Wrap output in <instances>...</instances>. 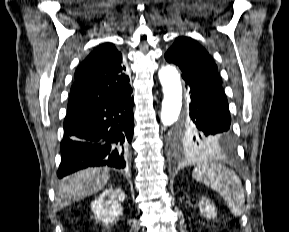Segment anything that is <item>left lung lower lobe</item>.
<instances>
[{
    "label": "left lung lower lobe",
    "mask_w": 289,
    "mask_h": 232,
    "mask_svg": "<svg viewBox=\"0 0 289 232\" xmlns=\"http://www.w3.org/2000/svg\"><path fill=\"white\" fill-rule=\"evenodd\" d=\"M190 91V127L213 149L231 154L235 139L230 127L228 102L221 85L198 75L182 73Z\"/></svg>",
    "instance_id": "0a47b994"
}]
</instances>
